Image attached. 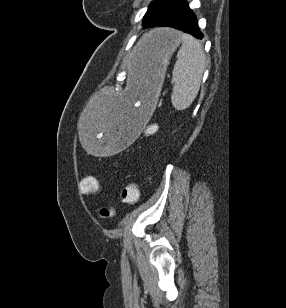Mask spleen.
I'll return each instance as SVG.
<instances>
[{"mask_svg": "<svg viewBox=\"0 0 286 308\" xmlns=\"http://www.w3.org/2000/svg\"><path fill=\"white\" fill-rule=\"evenodd\" d=\"M181 42L172 72L171 102L176 110L190 107L199 92L206 68V57L201 44L188 34L181 35Z\"/></svg>", "mask_w": 286, "mask_h": 308, "instance_id": "3e777b00", "label": "spleen"}]
</instances>
